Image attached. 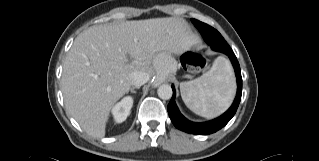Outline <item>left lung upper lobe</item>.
Listing matches in <instances>:
<instances>
[{
  "mask_svg": "<svg viewBox=\"0 0 319 161\" xmlns=\"http://www.w3.org/2000/svg\"><path fill=\"white\" fill-rule=\"evenodd\" d=\"M195 27L198 29L197 26L202 27V30H199L200 33H206V31H209L212 35L208 34V37H203L204 40L211 46V48L215 51L221 52L224 48H228L229 45L227 42L224 40V38L221 36V34L212 28L211 26L202 23L196 19H191Z\"/></svg>",
  "mask_w": 319,
  "mask_h": 161,
  "instance_id": "left-lung-upper-lobe-1",
  "label": "left lung upper lobe"
}]
</instances>
